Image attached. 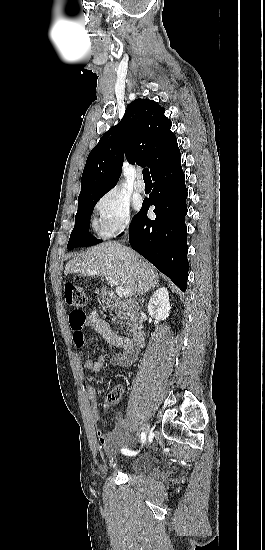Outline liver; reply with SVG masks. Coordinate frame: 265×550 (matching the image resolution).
Listing matches in <instances>:
<instances>
[{
	"label": "liver",
	"instance_id": "liver-1",
	"mask_svg": "<svg viewBox=\"0 0 265 550\" xmlns=\"http://www.w3.org/2000/svg\"><path fill=\"white\" fill-rule=\"evenodd\" d=\"M92 271L112 277L124 288L127 297L142 295L158 283V272L150 262L117 243H102L77 255L68 261L64 273L98 276L90 275Z\"/></svg>",
	"mask_w": 265,
	"mask_h": 550
}]
</instances>
